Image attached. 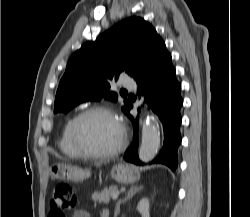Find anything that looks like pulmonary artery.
<instances>
[{
  "mask_svg": "<svg viewBox=\"0 0 250 217\" xmlns=\"http://www.w3.org/2000/svg\"><path fill=\"white\" fill-rule=\"evenodd\" d=\"M122 86L127 88V89H135L136 88V82L134 80H130V79H127V80H123L121 82Z\"/></svg>",
  "mask_w": 250,
  "mask_h": 217,
  "instance_id": "e3ab8cb5",
  "label": "pulmonary artery"
}]
</instances>
